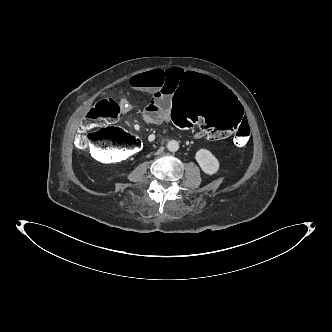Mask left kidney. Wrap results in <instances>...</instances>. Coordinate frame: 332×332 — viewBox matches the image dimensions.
I'll use <instances>...</instances> for the list:
<instances>
[{"instance_id": "1", "label": "left kidney", "mask_w": 332, "mask_h": 332, "mask_svg": "<svg viewBox=\"0 0 332 332\" xmlns=\"http://www.w3.org/2000/svg\"><path fill=\"white\" fill-rule=\"evenodd\" d=\"M195 159L205 174L213 175L219 170L218 159L207 149H199Z\"/></svg>"}]
</instances>
